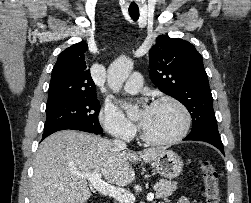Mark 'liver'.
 Here are the masks:
<instances>
[{
	"mask_svg": "<svg viewBox=\"0 0 251 203\" xmlns=\"http://www.w3.org/2000/svg\"><path fill=\"white\" fill-rule=\"evenodd\" d=\"M164 148L138 154L117 148L110 140L73 130L47 137L35 156L31 203H85L91 191L77 174L100 173L108 184L127 186L135 179L130 162L154 160Z\"/></svg>",
	"mask_w": 251,
	"mask_h": 203,
	"instance_id": "liver-1",
	"label": "liver"
}]
</instances>
